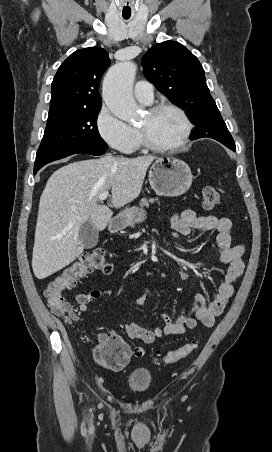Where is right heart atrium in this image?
<instances>
[{
    "mask_svg": "<svg viewBox=\"0 0 272 452\" xmlns=\"http://www.w3.org/2000/svg\"><path fill=\"white\" fill-rule=\"evenodd\" d=\"M95 126L99 136L110 147L122 152L132 151L137 138L136 130L113 115L106 105L100 107Z\"/></svg>",
    "mask_w": 272,
    "mask_h": 452,
    "instance_id": "right-heart-atrium-1",
    "label": "right heart atrium"
}]
</instances>
